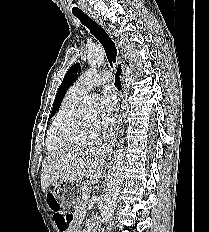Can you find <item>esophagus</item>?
Returning a JSON list of instances; mask_svg holds the SVG:
<instances>
[{"instance_id":"obj_1","label":"esophagus","mask_w":209,"mask_h":232,"mask_svg":"<svg viewBox=\"0 0 209 232\" xmlns=\"http://www.w3.org/2000/svg\"><path fill=\"white\" fill-rule=\"evenodd\" d=\"M86 14H88L93 20H95L97 23H99L101 26L105 27V24L101 20V18L91 9L85 10ZM109 31V30H108ZM110 33V31H109ZM111 34V33H110ZM119 76L120 84H118L117 77ZM115 85L119 89L121 102L123 100V66L121 65L120 61L116 64V71H115ZM121 111V108L119 106L118 112Z\"/></svg>"}]
</instances>
